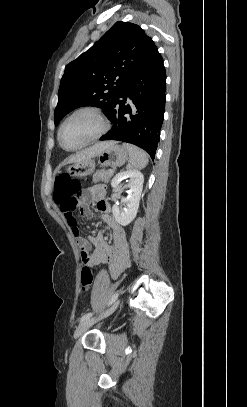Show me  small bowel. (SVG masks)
<instances>
[{"mask_svg":"<svg viewBox=\"0 0 247 407\" xmlns=\"http://www.w3.org/2000/svg\"><path fill=\"white\" fill-rule=\"evenodd\" d=\"M104 196L105 188L98 185L88 190L86 200L96 202V207L102 220L111 230V243L107 242L103 232H99L96 236H90L88 239L81 236L75 213L78 211L87 218L92 216L90 209L84 201L75 197L74 199L59 203L60 210L79 245L82 262L90 267L108 264L111 276L118 278L130 264L129 246L125 231L113 216L112 208L105 201ZM92 245L94 246L93 251H91Z\"/></svg>","mask_w":247,"mask_h":407,"instance_id":"c3829d8e","label":"small bowel"}]
</instances>
